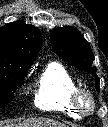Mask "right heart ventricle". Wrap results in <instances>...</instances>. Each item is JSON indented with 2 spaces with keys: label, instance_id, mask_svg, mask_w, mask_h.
Instances as JSON below:
<instances>
[{
  "label": "right heart ventricle",
  "instance_id": "e07e8e85",
  "mask_svg": "<svg viewBox=\"0 0 108 127\" xmlns=\"http://www.w3.org/2000/svg\"><path fill=\"white\" fill-rule=\"evenodd\" d=\"M77 84L70 72L60 63L52 62L41 73L34 93L35 106L44 111L76 115L73 93Z\"/></svg>",
  "mask_w": 108,
  "mask_h": 127
}]
</instances>
